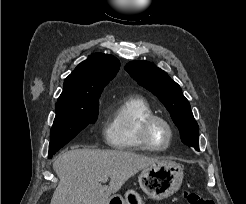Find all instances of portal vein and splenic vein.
<instances>
[{"label": "portal vein and splenic vein", "mask_w": 246, "mask_h": 204, "mask_svg": "<svg viewBox=\"0 0 246 204\" xmlns=\"http://www.w3.org/2000/svg\"><path fill=\"white\" fill-rule=\"evenodd\" d=\"M107 181H108V178H105V179H104V182H107Z\"/></svg>", "instance_id": "1"}]
</instances>
